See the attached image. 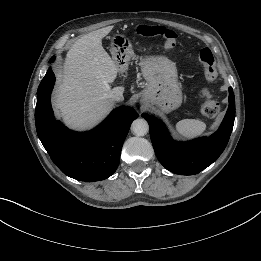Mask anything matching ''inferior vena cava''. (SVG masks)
<instances>
[{"instance_id": "obj_1", "label": "inferior vena cava", "mask_w": 261, "mask_h": 261, "mask_svg": "<svg viewBox=\"0 0 261 261\" xmlns=\"http://www.w3.org/2000/svg\"><path fill=\"white\" fill-rule=\"evenodd\" d=\"M109 98L113 101H122L124 99L122 94L116 92H111Z\"/></svg>"}]
</instances>
